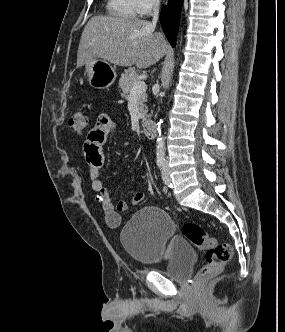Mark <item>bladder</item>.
<instances>
[{
    "label": "bladder",
    "instance_id": "1",
    "mask_svg": "<svg viewBox=\"0 0 285 332\" xmlns=\"http://www.w3.org/2000/svg\"><path fill=\"white\" fill-rule=\"evenodd\" d=\"M120 239L135 261L143 264L164 262L170 278L184 279L196 259L190 244L175 234L170 215L157 206L139 209L122 229Z\"/></svg>",
    "mask_w": 285,
    "mask_h": 332
}]
</instances>
